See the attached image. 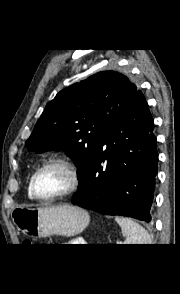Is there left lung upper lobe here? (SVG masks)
<instances>
[{
    "label": "left lung upper lobe",
    "mask_w": 180,
    "mask_h": 294,
    "mask_svg": "<svg viewBox=\"0 0 180 294\" xmlns=\"http://www.w3.org/2000/svg\"><path fill=\"white\" fill-rule=\"evenodd\" d=\"M139 91L124 74L96 73L63 89L46 105L25 145L36 152H66L77 166L80 186L103 139Z\"/></svg>",
    "instance_id": "obj_1"
}]
</instances>
